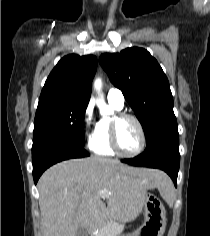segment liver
I'll use <instances>...</instances> for the list:
<instances>
[{
  "instance_id": "obj_1",
  "label": "liver",
  "mask_w": 210,
  "mask_h": 236,
  "mask_svg": "<svg viewBox=\"0 0 210 236\" xmlns=\"http://www.w3.org/2000/svg\"><path fill=\"white\" fill-rule=\"evenodd\" d=\"M167 185L170 179L162 171L117 160L93 156L57 163L38 181L43 236H76L80 226L91 233L107 217L132 221L147 190L157 188L166 197Z\"/></svg>"
}]
</instances>
